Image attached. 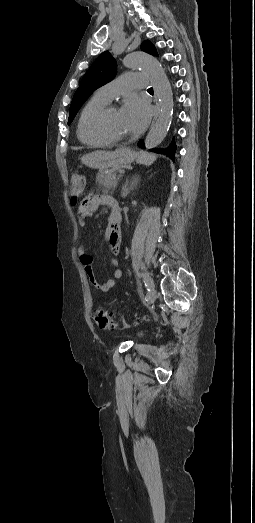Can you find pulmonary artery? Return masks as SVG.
Returning a JSON list of instances; mask_svg holds the SVG:
<instances>
[{
  "mask_svg": "<svg viewBox=\"0 0 255 523\" xmlns=\"http://www.w3.org/2000/svg\"><path fill=\"white\" fill-rule=\"evenodd\" d=\"M148 77L142 72H122L119 78H114L112 83L101 86L99 92L108 99H114L116 96L128 95L130 92H138L147 88ZM118 84V85H117Z\"/></svg>",
  "mask_w": 255,
  "mask_h": 523,
  "instance_id": "e3ab8cb5",
  "label": "pulmonary artery"
}]
</instances>
